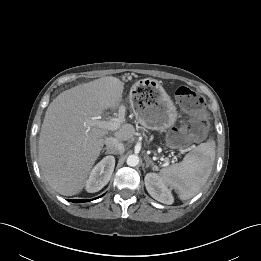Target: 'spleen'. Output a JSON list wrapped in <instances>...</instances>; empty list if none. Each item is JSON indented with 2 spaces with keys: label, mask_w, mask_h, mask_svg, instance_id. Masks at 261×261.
I'll return each instance as SVG.
<instances>
[{
  "label": "spleen",
  "mask_w": 261,
  "mask_h": 261,
  "mask_svg": "<svg viewBox=\"0 0 261 261\" xmlns=\"http://www.w3.org/2000/svg\"><path fill=\"white\" fill-rule=\"evenodd\" d=\"M214 160L215 143L209 140L189 152L181 162L161 169L159 176L178 191L181 200H187L198 194L207 182Z\"/></svg>",
  "instance_id": "3e777b00"
}]
</instances>
